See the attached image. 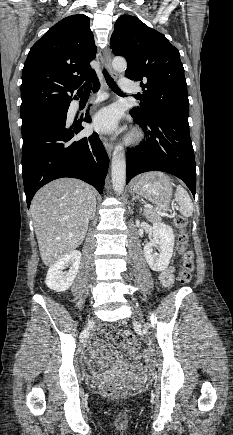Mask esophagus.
<instances>
[{
    "mask_svg": "<svg viewBox=\"0 0 233 435\" xmlns=\"http://www.w3.org/2000/svg\"><path fill=\"white\" fill-rule=\"evenodd\" d=\"M104 65L107 69V71L109 72V74L111 76H113L114 78L117 77V74L115 73V71L113 70L112 66H111V51L109 49V47H107L104 51ZM103 140V144L105 146V149L107 151V154L109 156H111L112 151H113V144L111 142H109L105 137H102Z\"/></svg>",
    "mask_w": 233,
    "mask_h": 435,
    "instance_id": "esophagus-1",
    "label": "esophagus"
}]
</instances>
